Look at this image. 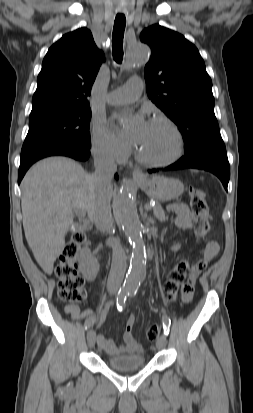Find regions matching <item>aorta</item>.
<instances>
[{
	"label": "aorta",
	"instance_id": "aorta-1",
	"mask_svg": "<svg viewBox=\"0 0 253 413\" xmlns=\"http://www.w3.org/2000/svg\"><path fill=\"white\" fill-rule=\"evenodd\" d=\"M149 56V48L142 43L131 46L127 52V59L122 66L129 70L133 65L144 62ZM115 212L123 231L132 245V257L128 274L124 282L126 291H135L146 277V254L140 222L135 201L127 186H124L115 201Z\"/></svg>",
	"mask_w": 253,
	"mask_h": 413
}]
</instances>
